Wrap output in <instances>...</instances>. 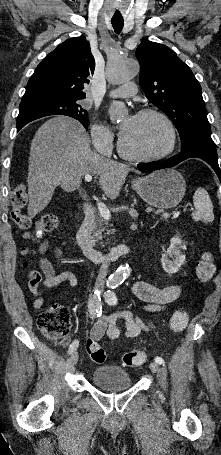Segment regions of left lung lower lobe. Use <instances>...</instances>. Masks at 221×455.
I'll use <instances>...</instances> for the list:
<instances>
[{
	"instance_id": "left-lung-lower-lobe-1",
	"label": "left lung lower lobe",
	"mask_w": 221,
	"mask_h": 455,
	"mask_svg": "<svg viewBox=\"0 0 221 455\" xmlns=\"http://www.w3.org/2000/svg\"><path fill=\"white\" fill-rule=\"evenodd\" d=\"M192 157H197L206 161L214 169L219 179L221 180V170L218 165L216 146L213 141H193L186 147L182 148L181 152L178 155H175L163 161L140 163L137 165V167L143 172H152L159 169L173 167L178 163Z\"/></svg>"
}]
</instances>
